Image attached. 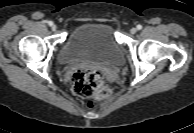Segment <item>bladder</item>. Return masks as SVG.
<instances>
[{
	"label": "bladder",
	"instance_id": "bladder-1",
	"mask_svg": "<svg viewBox=\"0 0 194 133\" xmlns=\"http://www.w3.org/2000/svg\"><path fill=\"white\" fill-rule=\"evenodd\" d=\"M58 57L62 63L92 62L114 65L122 61L123 53L109 24L86 22L70 33Z\"/></svg>",
	"mask_w": 194,
	"mask_h": 133
}]
</instances>
